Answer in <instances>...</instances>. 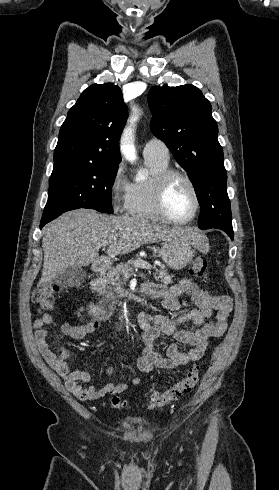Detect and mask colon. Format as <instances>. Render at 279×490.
Returning a JSON list of instances; mask_svg holds the SVG:
<instances>
[{
    "label": "colon",
    "mask_w": 279,
    "mask_h": 490,
    "mask_svg": "<svg viewBox=\"0 0 279 490\" xmlns=\"http://www.w3.org/2000/svg\"><path fill=\"white\" fill-rule=\"evenodd\" d=\"M207 266V257L204 255H197L191 263L193 275L202 281L207 280L209 276ZM58 291L59 288L57 284L48 283L44 285L41 290L34 293L33 300L39 305L42 312H49L54 308L55 296ZM200 372L201 365L199 362H195L184 378L174 383L171 387L155 393L150 400L149 407H164L191 392L199 382ZM111 405L117 410L125 409L127 406L126 403L122 402L118 397L112 398Z\"/></svg>",
    "instance_id": "obj_1"
}]
</instances>
